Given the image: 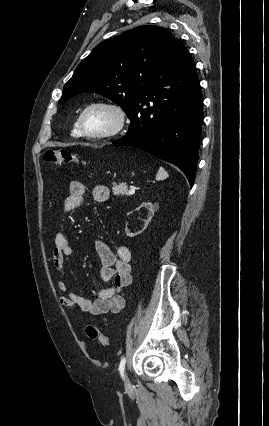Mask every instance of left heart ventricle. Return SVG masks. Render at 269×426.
I'll use <instances>...</instances> for the list:
<instances>
[{
	"label": "left heart ventricle",
	"instance_id": "left-heart-ventricle-1",
	"mask_svg": "<svg viewBox=\"0 0 269 426\" xmlns=\"http://www.w3.org/2000/svg\"><path fill=\"white\" fill-rule=\"evenodd\" d=\"M114 120V115L109 110L93 108L86 113L84 125L89 132L99 133L111 128Z\"/></svg>",
	"mask_w": 269,
	"mask_h": 426
}]
</instances>
